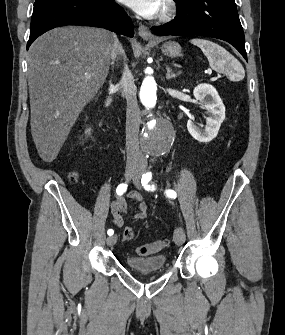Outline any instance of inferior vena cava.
Here are the masks:
<instances>
[{
    "label": "inferior vena cava",
    "mask_w": 285,
    "mask_h": 335,
    "mask_svg": "<svg viewBox=\"0 0 285 335\" xmlns=\"http://www.w3.org/2000/svg\"><path fill=\"white\" fill-rule=\"evenodd\" d=\"M114 44L111 52V58L113 64L118 58L122 56L123 60H126L125 52L119 44L116 36H114ZM121 88L122 96H124L127 102L126 108V150H127V160L130 162H143L144 156L139 148V126L141 122L140 110L137 104L136 98V86L134 84L133 76L128 70L127 66L123 72L121 78Z\"/></svg>",
    "instance_id": "1"
}]
</instances>
